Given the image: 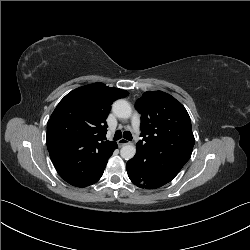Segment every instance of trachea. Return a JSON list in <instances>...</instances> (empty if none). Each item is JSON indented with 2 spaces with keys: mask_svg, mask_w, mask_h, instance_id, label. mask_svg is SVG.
Instances as JSON below:
<instances>
[{
  "mask_svg": "<svg viewBox=\"0 0 250 250\" xmlns=\"http://www.w3.org/2000/svg\"><path fill=\"white\" fill-rule=\"evenodd\" d=\"M124 137L126 140L131 141L132 140V134L129 131L122 132L120 130H117L114 135V140L117 141Z\"/></svg>",
  "mask_w": 250,
  "mask_h": 250,
  "instance_id": "3493384b",
  "label": "trachea"
}]
</instances>
